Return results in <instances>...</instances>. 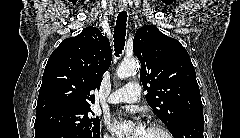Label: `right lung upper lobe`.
<instances>
[{
	"mask_svg": "<svg viewBox=\"0 0 240 138\" xmlns=\"http://www.w3.org/2000/svg\"><path fill=\"white\" fill-rule=\"evenodd\" d=\"M109 40L96 27H87L63 40L50 55L42 77L37 115L64 108H87L94 103L90 91L99 89L111 64Z\"/></svg>",
	"mask_w": 240,
	"mask_h": 138,
	"instance_id": "1",
	"label": "right lung upper lobe"
}]
</instances>
